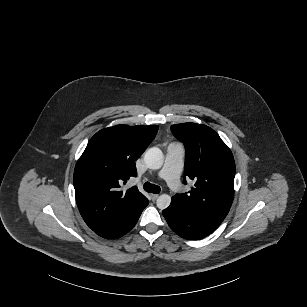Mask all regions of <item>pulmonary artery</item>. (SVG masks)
I'll list each match as a JSON object with an SVG mask.
<instances>
[{
    "mask_svg": "<svg viewBox=\"0 0 307 307\" xmlns=\"http://www.w3.org/2000/svg\"><path fill=\"white\" fill-rule=\"evenodd\" d=\"M183 169V148L177 142L167 147L165 162L161 170L148 172L144 177L159 182H165L169 187L176 188L181 183L179 174Z\"/></svg>",
    "mask_w": 307,
    "mask_h": 307,
    "instance_id": "1",
    "label": "pulmonary artery"
}]
</instances>
